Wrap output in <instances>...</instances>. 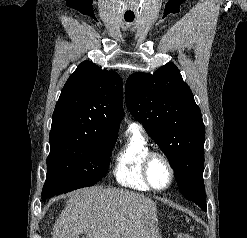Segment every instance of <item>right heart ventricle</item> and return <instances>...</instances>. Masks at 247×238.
<instances>
[{"label": "right heart ventricle", "instance_id": "obj_1", "mask_svg": "<svg viewBox=\"0 0 247 238\" xmlns=\"http://www.w3.org/2000/svg\"><path fill=\"white\" fill-rule=\"evenodd\" d=\"M150 151V145L139 126L131 125L125 142L115 156L113 173L119 184L143 191L151 189L142 175V163Z\"/></svg>", "mask_w": 247, "mask_h": 238}]
</instances>
